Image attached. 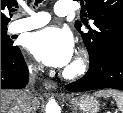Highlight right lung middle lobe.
<instances>
[{"instance_id": "dd1d6c3e", "label": "right lung middle lobe", "mask_w": 123, "mask_h": 113, "mask_svg": "<svg viewBox=\"0 0 123 113\" xmlns=\"http://www.w3.org/2000/svg\"><path fill=\"white\" fill-rule=\"evenodd\" d=\"M17 46H13V41L10 39L9 35H7V28L1 27V50L3 51H12Z\"/></svg>"}]
</instances>
